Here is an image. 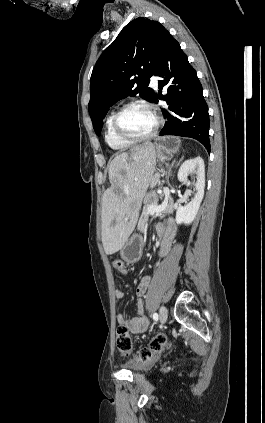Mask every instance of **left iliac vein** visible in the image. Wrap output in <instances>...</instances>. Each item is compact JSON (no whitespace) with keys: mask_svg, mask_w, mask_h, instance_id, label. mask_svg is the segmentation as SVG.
I'll return each instance as SVG.
<instances>
[{"mask_svg":"<svg viewBox=\"0 0 265 423\" xmlns=\"http://www.w3.org/2000/svg\"><path fill=\"white\" fill-rule=\"evenodd\" d=\"M167 318H168L167 308L165 306H162L159 311V320L162 324H164L167 321Z\"/></svg>","mask_w":265,"mask_h":423,"instance_id":"obj_1","label":"left iliac vein"}]
</instances>
